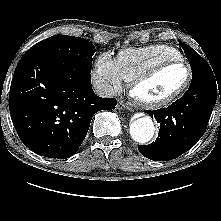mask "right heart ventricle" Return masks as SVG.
<instances>
[{
    "label": "right heart ventricle",
    "instance_id": "1",
    "mask_svg": "<svg viewBox=\"0 0 221 221\" xmlns=\"http://www.w3.org/2000/svg\"><path fill=\"white\" fill-rule=\"evenodd\" d=\"M173 59H183L178 49L165 44H155L124 49L118 53L116 62L122 79L131 82L153 66Z\"/></svg>",
    "mask_w": 221,
    "mask_h": 221
}]
</instances>
